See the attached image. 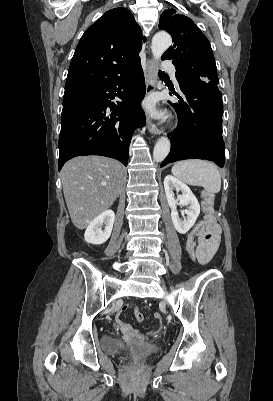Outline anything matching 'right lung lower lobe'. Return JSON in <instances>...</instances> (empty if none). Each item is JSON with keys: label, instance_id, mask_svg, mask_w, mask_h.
Returning a JSON list of instances; mask_svg holds the SVG:
<instances>
[{"label": "right lung lower lobe", "instance_id": "right-lung-lower-lobe-1", "mask_svg": "<svg viewBox=\"0 0 273 401\" xmlns=\"http://www.w3.org/2000/svg\"><path fill=\"white\" fill-rule=\"evenodd\" d=\"M144 95L139 61L105 84L63 100L59 171L66 161L79 155L107 156L126 166L132 134L146 123L140 107ZM114 96L123 101L111 103Z\"/></svg>", "mask_w": 273, "mask_h": 401}]
</instances>
